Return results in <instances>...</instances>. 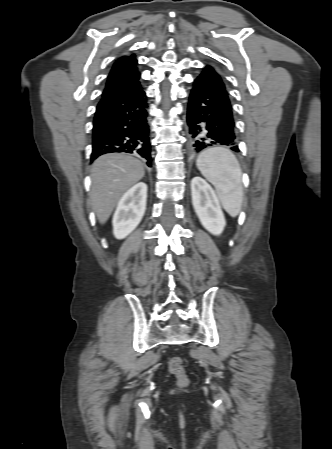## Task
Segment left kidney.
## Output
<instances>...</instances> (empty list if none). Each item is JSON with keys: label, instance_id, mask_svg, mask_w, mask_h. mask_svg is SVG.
<instances>
[{"label": "left kidney", "instance_id": "5707ae66", "mask_svg": "<svg viewBox=\"0 0 332 449\" xmlns=\"http://www.w3.org/2000/svg\"><path fill=\"white\" fill-rule=\"evenodd\" d=\"M193 208L202 226L213 235H220L226 225L220 202L212 187L201 177L191 181Z\"/></svg>", "mask_w": 332, "mask_h": 449}]
</instances>
